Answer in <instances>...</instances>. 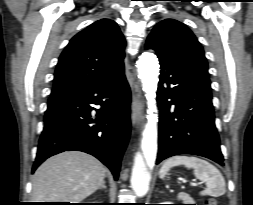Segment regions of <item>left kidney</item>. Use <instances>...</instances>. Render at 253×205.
I'll use <instances>...</instances> for the list:
<instances>
[{"instance_id": "1", "label": "left kidney", "mask_w": 253, "mask_h": 205, "mask_svg": "<svg viewBox=\"0 0 253 205\" xmlns=\"http://www.w3.org/2000/svg\"><path fill=\"white\" fill-rule=\"evenodd\" d=\"M161 204H173L172 202H163ZM191 204H194V202L192 201Z\"/></svg>"}]
</instances>
